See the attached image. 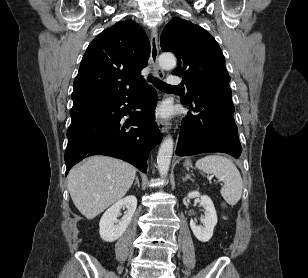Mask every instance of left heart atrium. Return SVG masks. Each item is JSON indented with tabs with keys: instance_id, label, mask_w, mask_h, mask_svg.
Masks as SVG:
<instances>
[{
	"instance_id": "obj_1",
	"label": "left heart atrium",
	"mask_w": 308,
	"mask_h": 278,
	"mask_svg": "<svg viewBox=\"0 0 308 278\" xmlns=\"http://www.w3.org/2000/svg\"><path fill=\"white\" fill-rule=\"evenodd\" d=\"M168 114H169V110L166 106H163L158 110V115L160 117H167Z\"/></svg>"
}]
</instances>
